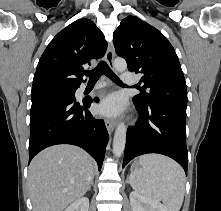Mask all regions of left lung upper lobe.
<instances>
[{
    "mask_svg": "<svg viewBox=\"0 0 221 211\" xmlns=\"http://www.w3.org/2000/svg\"><path fill=\"white\" fill-rule=\"evenodd\" d=\"M116 53L131 72L142 73V94L133 101L147 107L161 102L187 105V87L177 54L167 38L138 17L123 19L113 34Z\"/></svg>",
    "mask_w": 221,
    "mask_h": 211,
    "instance_id": "5c2ea615",
    "label": "left lung upper lobe"
}]
</instances>
